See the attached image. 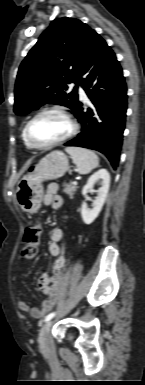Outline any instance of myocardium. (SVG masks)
Returning a JSON list of instances; mask_svg holds the SVG:
<instances>
[{"mask_svg": "<svg viewBox=\"0 0 145 385\" xmlns=\"http://www.w3.org/2000/svg\"><path fill=\"white\" fill-rule=\"evenodd\" d=\"M46 113H57V114L63 116L67 120V122L69 123L70 129L64 137H62V138H60V139H58V140H56L50 144L37 145L30 138V129H31L33 122L38 117H40L41 115L46 114ZM78 129H79L78 122L76 121V119L74 118L72 113L67 108H65L63 106L55 105V106L45 107V108L39 110L35 115H33V117L27 122V124L25 126L24 138H25L27 145L30 148H32L34 150H48V149L56 147V146H58L64 142L68 141L69 139H71L73 136L76 135V133L78 132Z\"/></svg>", "mask_w": 145, "mask_h": 385, "instance_id": "myocardium-1", "label": "myocardium"}]
</instances>
